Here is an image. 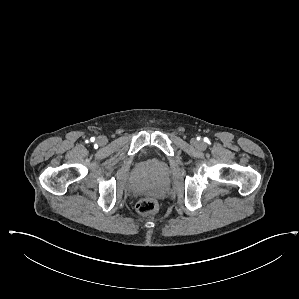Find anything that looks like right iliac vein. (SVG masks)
<instances>
[{"label":"right iliac vein","mask_w":299,"mask_h":299,"mask_svg":"<svg viewBox=\"0 0 299 299\" xmlns=\"http://www.w3.org/2000/svg\"><path fill=\"white\" fill-rule=\"evenodd\" d=\"M97 143L100 145V146H103L107 143V138L105 136H99L97 138Z\"/></svg>","instance_id":"63e3f726"}]
</instances>
